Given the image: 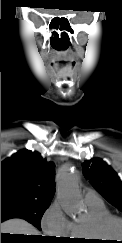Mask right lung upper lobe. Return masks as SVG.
Listing matches in <instances>:
<instances>
[{
  "mask_svg": "<svg viewBox=\"0 0 122 243\" xmlns=\"http://www.w3.org/2000/svg\"><path fill=\"white\" fill-rule=\"evenodd\" d=\"M54 175L53 162H47L38 152L20 150L1 163V196L51 201Z\"/></svg>",
  "mask_w": 122,
  "mask_h": 243,
  "instance_id": "1",
  "label": "right lung upper lobe"
}]
</instances>
